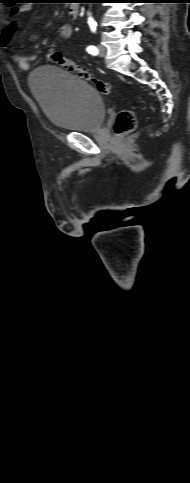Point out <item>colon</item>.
Masks as SVG:
<instances>
[{"instance_id": "obj_1", "label": "colon", "mask_w": 190, "mask_h": 483, "mask_svg": "<svg viewBox=\"0 0 190 483\" xmlns=\"http://www.w3.org/2000/svg\"><path fill=\"white\" fill-rule=\"evenodd\" d=\"M47 58L50 62L62 67L65 71L75 73L82 80L90 82L101 94H114L113 87L110 83L94 78L89 71L81 68L74 61L66 58L60 51H50L47 54ZM136 127L137 119L135 113L129 109L121 110L114 124L115 134L118 136H124L133 132Z\"/></svg>"}]
</instances>
